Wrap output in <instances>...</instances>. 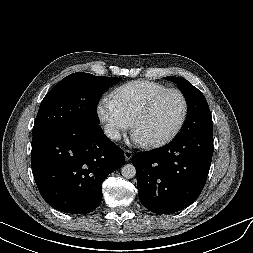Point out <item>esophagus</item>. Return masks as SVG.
I'll use <instances>...</instances> for the list:
<instances>
[{"label": "esophagus", "mask_w": 253, "mask_h": 253, "mask_svg": "<svg viewBox=\"0 0 253 253\" xmlns=\"http://www.w3.org/2000/svg\"><path fill=\"white\" fill-rule=\"evenodd\" d=\"M124 155H125V160H126V161H130L133 154H132V151H131V150L126 149V150L124 151Z\"/></svg>", "instance_id": "obj_1"}]
</instances>
